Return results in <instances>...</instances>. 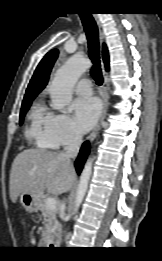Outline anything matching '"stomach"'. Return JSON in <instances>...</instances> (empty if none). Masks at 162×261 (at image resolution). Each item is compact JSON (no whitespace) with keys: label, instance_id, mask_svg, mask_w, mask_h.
Segmentation results:
<instances>
[{"label":"stomach","instance_id":"1","mask_svg":"<svg viewBox=\"0 0 162 261\" xmlns=\"http://www.w3.org/2000/svg\"><path fill=\"white\" fill-rule=\"evenodd\" d=\"M41 198L40 195H32L29 193H22L20 195V203L28 212H35L40 207Z\"/></svg>","mask_w":162,"mask_h":261}]
</instances>
